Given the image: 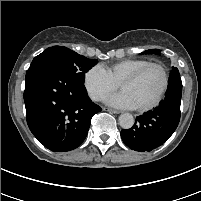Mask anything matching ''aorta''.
<instances>
[{"label":"aorta","mask_w":201,"mask_h":201,"mask_svg":"<svg viewBox=\"0 0 201 201\" xmlns=\"http://www.w3.org/2000/svg\"><path fill=\"white\" fill-rule=\"evenodd\" d=\"M119 124L123 129H130L134 125V118L130 113H123L119 116Z\"/></svg>","instance_id":"762f6f07"}]
</instances>
